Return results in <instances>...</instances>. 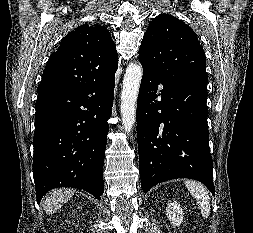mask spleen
I'll list each match as a JSON object with an SVG mask.
<instances>
[{
    "label": "spleen",
    "instance_id": "1",
    "mask_svg": "<svg viewBox=\"0 0 253 233\" xmlns=\"http://www.w3.org/2000/svg\"><path fill=\"white\" fill-rule=\"evenodd\" d=\"M185 185L188 191L197 201L202 216L204 218H208L211 210L210 207L211 205H210V196L206 188L202 184L191 180L185 181Z\"/></svg>",
    "mask_w": 253,
    "mask_h": 233
}]
</instances>
